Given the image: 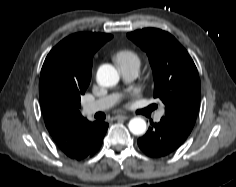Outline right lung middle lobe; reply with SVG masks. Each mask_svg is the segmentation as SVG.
<instances>
[{"mask_svg":"<svg viewBox=\"0 0 236 187\" xmlns=\"http://www.w3.org/2000/svg\"><path fill=\"white\" fill-rule=\"evenodd\" d=\"M85 90H82L80 92L79 91L64 92L62 95L71 104H73L77 108H80V95L84 94Z\"/></svg>","mask_w":236,"mask_h":187,"instance_id":"1","label":"right lung middle lobe"}]
</instances>
